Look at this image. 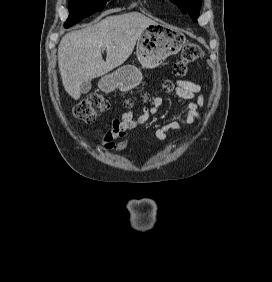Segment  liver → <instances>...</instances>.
<instances>
[{
    "label": "liver",
    "instance_id": "1",
    "mask_svg": "<svg viewBox=\"0 0 272 282\" xmlns=\"http://www.w3.org/2000/svg\"><path fill=\"white\" fill-rule=\"evenodd\" d=\"M155 22L138 12L108 16L67 33L58 47V66L65 91L74 99L81 85L122 65L142 32ZM106 50V61L101 51Z\"/></svg>",
    "mask_w": 272,
    "mask_h": 282
}]
</instances>
